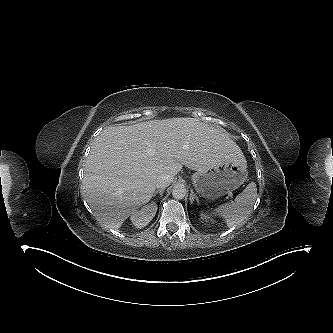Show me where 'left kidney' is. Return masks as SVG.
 Returning <instances> with one entry per match:
<instances>
[{"instance_id": "obj_1", "label": "left kidney", "mask_w": 333, "mask_h": 333, "mask_svg": "<svg viewBox=\"0 0 333 333\" xmlns=\"http://www.w3.org/2000/svg\"><path fill=\"white\" fill-rule=\"evenodd\" d=\"M201 218L203 219V220H208L209 219V217L208 216H206L205 214H201Z\"/></svg>"}]
</instances>
